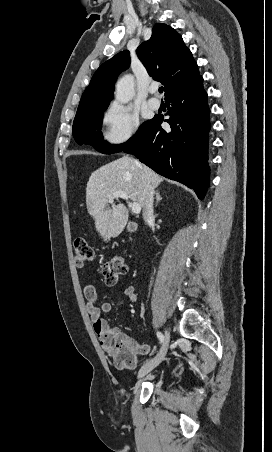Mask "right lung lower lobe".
<instances>
[{"label":"right lung lower lobe","mask_w":272,"mask_h":452,"mask_svg":"<svg viewBox=\"0 0 272 452\" xmlns=\"http://www.w3.org/2000/svg\"><path fill=\"white\" fill-rule=\"evenodd\" d=\"M166 120L171 130L160 127L155 116L141 135L124 150L136 155L158 174L192 188L203 199L209 187L208 134L210 131L207 93L199 76L165 97Z\"/></svg>","instance_id":"1"}]
</instances>
